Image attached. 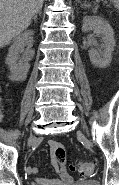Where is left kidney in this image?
I'll return each instance as SVG.
<instances>
[{
	"mask_svg": "<svg viewBox=\"0 0 119 185\" xmlns=\"http://www.w3.org/2000/svg\"><path fill=\"white\" fill-rule=\"evenodd\" d=\"M93 31L96 35L101 36L104 42L102 52L96 49L89 50L91 63L99 68H106L112 61V51L115 47L114 30L111 25L103 18L98 16L83 17L82 32Z\"/></svg>",
	"mask_w": 119,
	"mask_h": 185,
	"instance_id": "1",
	"label": "left kidney"
}]
</instances>
